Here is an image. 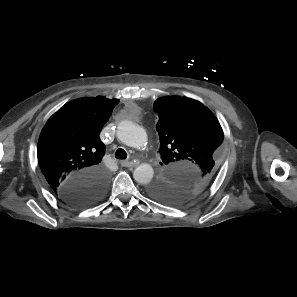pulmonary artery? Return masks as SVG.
Wrapping results in <instances>:
<instances>
[{
	"mask_svg": "<svg viewBox=\"0 0 297 297\" xmlns=\"http://www.w3.org/2000/svg\"><path fill=\"white\" fill-rule=\"evenodd\" d=\"M122 140L125 141V142H128V139H126V138H122Z\"/></svg>",
	"mask_w": 297,
	"mask_h": 297,
	"instance_id": "pulmonary-artery-1",
	"label": "pulmonary artery"
}]
</instances>
